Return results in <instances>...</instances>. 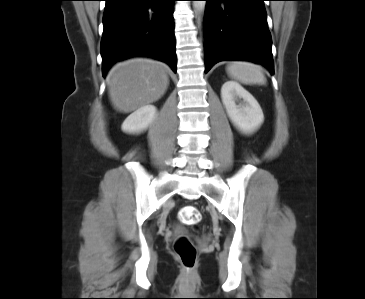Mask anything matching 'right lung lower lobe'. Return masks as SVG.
I'll return each instance as SVG.
<instances>
[{"mask_svg":"<svg viewBox=\"0 0 365 299\" xmlns=\"http://www.w3.org/2000/svg\"><path fill=\"white\" fill-rule=\"evenodd\" d=\"M101 40L102 73L117 61L149 56L176 72L175 0H105Z\"/></svg>","mask_w":365,"mask_h":299,"instance_id":"obj_1","label":"right lung lower lobe"}]
</instances>
